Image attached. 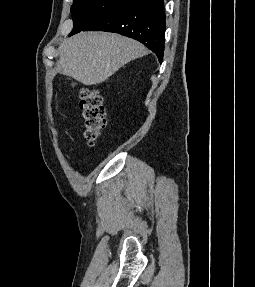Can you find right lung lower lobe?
Masks as SVG:
<instances>
[{
  "mask_svg": "<svg viewBox=\"0 0 255 287\" xmlns=\"http://www.w3.org/2000/svg\"><path fill=\"white\" fill-rule=\"evenodd\" d=\"M164 0H131L83 31H107L134 38L162 62L165 41Z\"/></svg>",
  "mask_w": 255,
  "mask_h": 287,
  "instance_id": "98d812e1",
  "label": "right lung lower lobe"
}]
</instances>
